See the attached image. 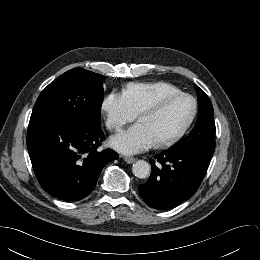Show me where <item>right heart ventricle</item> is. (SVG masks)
Returning <instances> with one entry per match:
<instances>
[{
  "instance_id": "right-heart-ventricle-1",
  "label": "right heart ventricle",
  "mask_w": 260,
  "mask_h": 260,
  "mask_svg": "<svg viewBox=\"0 0 260 260\" xmlns=\"http://www.w3.org/2000/svg\"><path fill=\"white\" fill-rule=\"evenodd\" d=\"M176 91L180 90L173 84L158 81L128 84L122 94L136 115L161 96Z\"/></svg>"
}]
</instances>
